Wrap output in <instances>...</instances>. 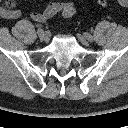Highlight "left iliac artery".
Listing matches in <instances>:
<instances>
[{"instance_id": "1", "label": "left iliac artery", "mask_w": 128, "mask_h": 128, "mask_svg": "<svg viewBox=\"0 0 128 128\" xmlns=\"http://www.w3.org/2000/svg\"><path fill=\"white\" fill-rule=\"evenodd\" d=\"M86 38H87L89 41H93V37H92L90 34H86Z\"/></svg>"}]
</instances>
